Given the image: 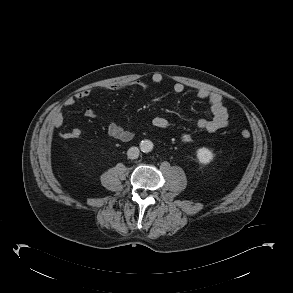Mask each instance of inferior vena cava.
Here are the masks:
<instances>
[{"mask_svg": "<svg viewBox=\"0 0 293 293\" xmlns=\"http://www.w3.org/2000/svg\"><path fill=\"white\" fill-rule=\"evenodd\" d=\"M127 156L129 159H136L139 156V149L137 147H131L127 151Z\"/></svg>", "mask_w": 293, "mask_h": 293, "instance_id": "obj_1", "label": "inferior vena cava"}]
</instances>
